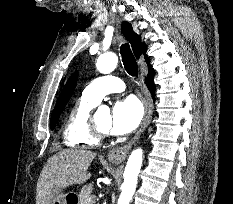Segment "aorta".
I'll list each match as a JSON object with an SVG mask.
<instances>
[{"mask_svg": "<svg viewBox=\"0 0 233 204\" xmlns=\"http://www.w3.org/2000/svg\"><path fill=\"white\" fill-rule=\"evenodd\" d=\"M118 63V57L114 53H106L99 56L96 67L102 74L112 72ZM98 114L109 113L107 106L98 108ZM143 151L138 148L135 149L127 161L124 171V182L122 184V192L118 199V204H129L137 185L138 175L142 166Z\"/></svg>", "mask_w": 233, "mask_h": 204, "instance_id": "aorta-1", "label": "aorta"}]
</instances>
